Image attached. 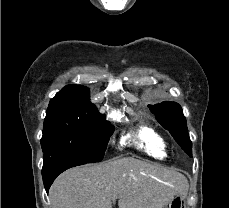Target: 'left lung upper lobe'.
<instances>
[{
	"label": "left lung upper lobe",
	"mask_w": 229,
	"mask_h": 208,
	"mask_svg": "<svg viewBox=\"0 0 229 208\" xmlns=\"http://www.w3.org/2000/svg\"><path fill=\"white\" fill-rule=\"evenodd\" d=\"M150 111L157 121L168 129L175 141L185 151L192 148L185 116L181 106L176 102L165 101L160 104L149 105Z\"/></svg>",
	"instance_id": "1"
}]
</instances>
